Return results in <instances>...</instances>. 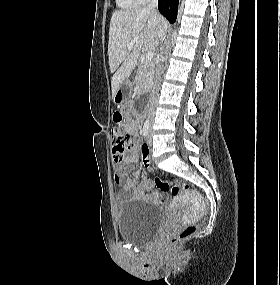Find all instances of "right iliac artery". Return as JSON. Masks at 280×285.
<instances>
[{
	"label": "right iliac artery",
	"instance_id": "82829eb1",
	"mask_svg": "<svg viewBox=\"0 0 280 285\" xmlns=\"http://www.w3.org/2000/svg\"><path fill=\"white\" fill-rule=\"evenodd\" d=\"M142 133H143L144 137L148 136V133H149V120H146V122L144 123Z\"/></svg>",
	"mask_w": 280,
	"mask_h": 285
}]
</instances>
